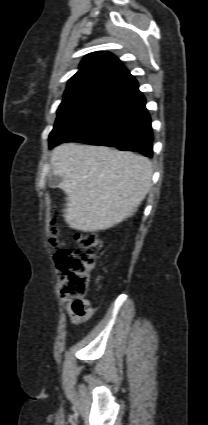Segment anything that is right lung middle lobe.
Segmentation results:
<instances>
[{
    "mask_svg": "<svg viewBox=\"0 0 208 425\" xmlns=\"http://www.w3.org/2000/svg\"><path fill=\"white\" fill-rule=\"evenodd\" d=\"M99 93L100 92H97V91H85V92L74 93L72 95L64 97L63 101L61 102L57 110L58 116H57L54 127L61 125L64 117L67 114H69L71 111L75 109H78L79 107L83 106L84 104L91 101L92 99L96 98L99 95ZM55 141L56 140L52 136H49V147L55 144Z\"/></svg>",
    "mask_w": 208,
    "mask_h": 425,
    "instance_id": "dd1d6c3e",
    "label": "right lung middle lobe"
}]
</instances>
